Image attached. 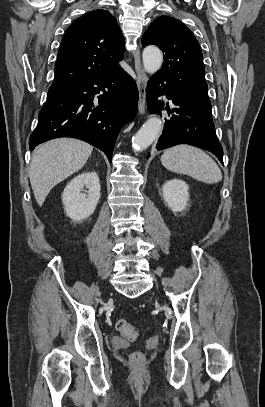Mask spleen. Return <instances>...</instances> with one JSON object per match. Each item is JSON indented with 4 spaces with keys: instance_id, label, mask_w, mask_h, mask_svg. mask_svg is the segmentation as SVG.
I'll use <instances>...</instances> for the list:
<instances>
[{
    "instance_id": "3e777b00",
    "label": "spleen",
    "mask_w": 265,
    "mask_h": 407,
    "mask_svg": "<svg viewBox=\"0 0 265 407\" xmlns=\"http://www.w3.org/2000/svg\"><path fill=\"white\" fill-rule=\"evenodd\" d=\"M162 165L168 170L186 174L207 184L221 181L222 173L216 162L203 150L190 145H177L161 156Z\"/></svg>"
}]
</instances>
